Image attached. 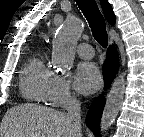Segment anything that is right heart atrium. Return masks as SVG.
<instances>
[{
    "label": "right heart atrium",
    "instance_id": "right-heart-atrium-1",
    "mask_svg": "<svg viewBox=\"0 0 144 137\" xmlns=\"http://www.w3.org/2000/svg\"><path fill=\"white\" fill-rule=\"evenodd\" d=\"M76 101L71 82L64 76L56 75L49 96V103L56 107H67Z\"/></svg>",
    "mask_w": 144,
    "mask_h": 137
}]
</instances>
